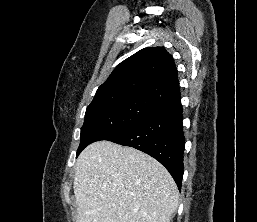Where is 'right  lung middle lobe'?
Instances as JSON below:
<instances>
[{"mask_svg":"<svg viewBox=\"0 0 257 222\" xmlns=\"http://www.w3.org/2000/svg\"><path fill=\"white\" fill-rule=\"evenodd\" d=\"M160 107L158 103L144 98L93 100L85 113L77 156L90 143L109 139Z\"/></svg>","mask_w":257,"mask_h":222,"instance_id":"obj_1","label":"right lung middle lobe"}]
</instances>
